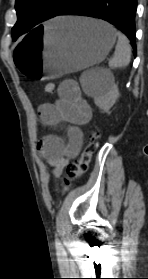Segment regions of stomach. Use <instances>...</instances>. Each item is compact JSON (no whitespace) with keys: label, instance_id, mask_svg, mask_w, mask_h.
<instances>
[{"label":"stomach","instance_id":"obj_1","mask_svg":"<svg viewBox=\"0 0 148 279\" xmlns=\"http://www.w3.org/2000/svg\"><path fill=\"white\" fill-rule=\"evenodd\" d=\"M116 41L104 21L60 17L36 28L14 46L16 75L22 82H50L100 63Z\"/></svg>","mask_w":148,"mask_h":279}]
</instances>
